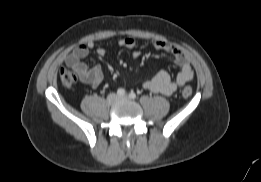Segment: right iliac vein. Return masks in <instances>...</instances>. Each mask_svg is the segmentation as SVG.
Segmentation results:
<instances>
[{
	"label": "right iliac vein",
	"mask_w": 261,
	"mask_h": 182,
	"mask_svg": "<svg viewBox=\"0 0 261 182\" xmlns=\"http://www.w3.org/2000/svg\"><path fill=\"white\" fill-rule=\"evenodd\" d=\"M117 100H118V97H117V95L116 94H110V95H108V97H107V102L109 103V104H114L115 102H117Z\"/></svg>",
	"instance_id": "right-iliac-vein-1"
}]
</instances>
